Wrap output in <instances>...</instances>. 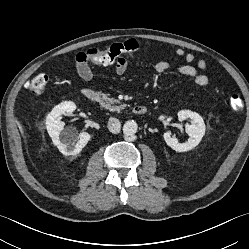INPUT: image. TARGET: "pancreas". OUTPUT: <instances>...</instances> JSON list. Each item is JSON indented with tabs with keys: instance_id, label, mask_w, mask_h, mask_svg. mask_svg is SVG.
I'll use <instances>...</instances> for the list:
<instances>
[{
	"instance_id": "cf45deb5",
	"label": "pancreas",
	"mask_w": 249,
	"mask_h": 249,
	"mask_svg": "<svg viewBox=\"0 0 249 249\" xmlns=\"http://www.w3.org/2000/svg\"><path fill=\"white\" fill-rule=\"evenodd\" d=\"M100 95V105L106 109H109L110 111H120L126 107L124 104L117 106V104H120V101L114 98H109V94L101 93Z\"/></svg>"
}]
</instances>
